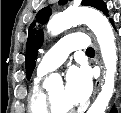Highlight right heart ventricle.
<instances>
[{
	"label": "right heart ventricle",
	"instance_id": "right-heart-ventricle-1",
	"mask_svg": "<svg viewBox=\"0 0 121 113\" xmlns=\"http://www.w3.org/2000/svg\"><path fill=\"white\" fill-rule=\"evenodd\" d=\"M43 76V74L38 73L31 89L28 102V109L31 113H50L46 104V92L40 84V80Z\"/></svg>",
	"mask_w": 121,
	"mask_h": 113
}]
</instances>
